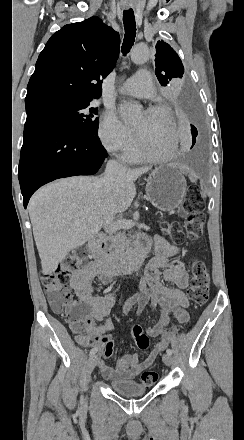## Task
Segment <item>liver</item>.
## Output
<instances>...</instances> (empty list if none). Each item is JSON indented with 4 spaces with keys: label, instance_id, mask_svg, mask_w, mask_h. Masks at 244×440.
<instances>
[{
    "label": "liver",
    "instance_id": "obj_1",
    "mask_svg": "<svg viewBox=\"0 0 244 440\" xmlns=\"http://www.w3.org/2000/svg\"><path fill=\"white\" fill-rule=\"evenodd\" d=\"M151 168L117 174L112 184L97 176L55 180L33 194L28 212L44 276L52 274L68 252L83 246L100 232L104 218L130 208L136 194L135 180ZM79 218L80 226L73 224Z\"/></svg>",
    "mask_w": 244,
    "mask_h": 440
}]
</instances>
